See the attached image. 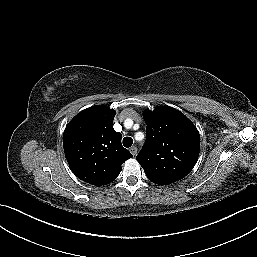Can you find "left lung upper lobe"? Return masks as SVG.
I'll use <instances>...</instances> for the list:
<instances>
[{
  "instance_id": "1",
  "label": "left lung upper lobe",
  "mask_w": 257,
  "mask_h": 257,
  "mask_svg": "<svg viewBox=\"0 0 257 257\" xmlns=\"http://www.w3.org/2000/svg\"><path fill=\"white\" fill-rule=\"evenodd\" d=\"M146 142L136 157L154 183L168 185L190 173L200 149L194 124L180 111L162 106L144 112Z\"/></svg>"
}]
</instances>
